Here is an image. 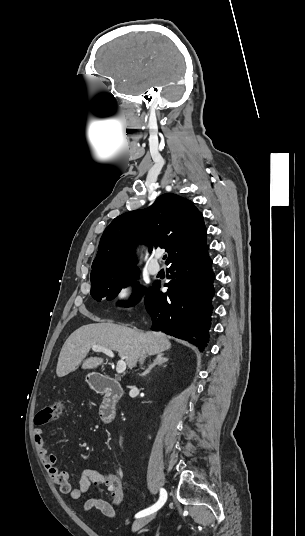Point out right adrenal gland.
Returning <instances> with one entry per match:
<instances>
[{"instance_id":"2a0ac1e0","label":"right adrenal gland","mask_w":305,"mask_h":536,"mask_svg":"<svg viewBox=\"0 0 305 536\" xmlns=\"http://www.w3.org/2000/svg\"><path fill=\"white\" fill-rule=\"evenodd\" d=\"M169 358H164V354H158L156 360H154L153 364L143 372L142 376H146V374H149L151 372L152 368L154 366H162V364H165V362H168Z\"/></svg>"}]
</instances>
